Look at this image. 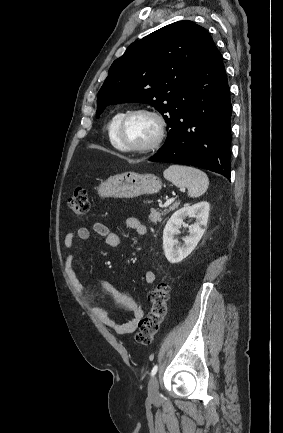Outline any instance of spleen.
<instances>
[{
    "label": "spleen",
    "instance_id": "spleen-1",
    "mask_svg": "<svg viewBox=\"0 0 283 433\" xmlns=\"http://www.w3.org/2000/svg\"><path fill=\"white\" fill-rule=\"evenodd\" d=\"M164 178L184 188L187 186L189 196H201L209 186V178L205 172L193 166H181V164H170L163 172Z\"/></svg>",
    "mask_w": 283,
    "mask_h": 433
}]
</instances>
